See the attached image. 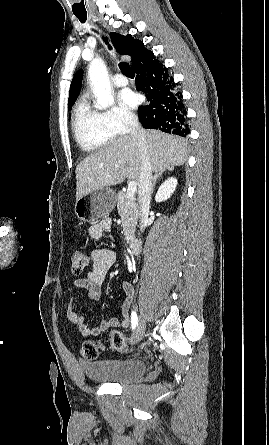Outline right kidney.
<instances>
[{
    "instance_id": "1",
    "label": "right kidney",
    "mask_w": 269,
    "mask_h": 445,
    "mask_svg": "<svg viewBox=\"0 0 269 445\" xmlns=\"http://www.w3.org/2000/svg\"><path fill=\"white\" fill-rule=\"evenodd\" d=\"M177 179L174 177H169L165 180L159 187L155 200L156 202H162L170 198L177 186Z\"/></svg>"
}]
</instances>
